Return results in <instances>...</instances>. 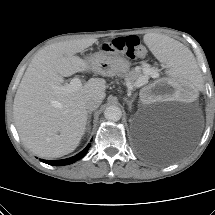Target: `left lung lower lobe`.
<instances>
[{"instance_id": "left-lung-lower-lobe-1", "label": "left lung lower lobe", "mask_w": 215, "mask_h": 215, "mask_svg": "<svg viewBox=\"0 0 215 215\" xmlns=\"http://www.w3.org/2000/svg\"><path fill=\"white\" fill-rule=\"evenodd\" d=\"M165 148L164 147H159L156 149H151L148 151L149 155H154V156H161L164 155Z\"/></svg>"}]
</instances>
